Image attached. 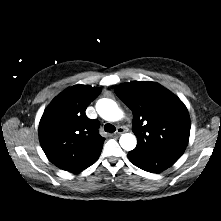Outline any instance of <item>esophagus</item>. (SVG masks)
Segmentation results:
<instances>
[{"mask_svg": "<svg viewBox=\"0 0 221 221\" xmlns=\"http://www.w3.org/2000/svg\"><path fill=\"white\" fill-rule=\"evenodd\" d=\"M125 132V129L123 127H118L116 132H115V135H121Z\"/></svg>", "mask_w": 221, "mask_h": 221, "instance_id": "34e87169", "label": "esophagus"}]
</instances>
